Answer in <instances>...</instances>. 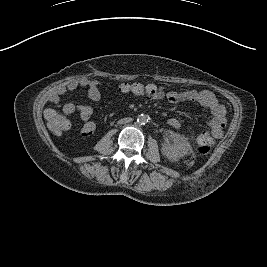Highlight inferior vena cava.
Returning a JSON list of instances; mask_svg holds the SVG:
<instances>
[{"instance_id":"obj_1","label":"inferior vena cava","mask_w":267,"mask_h":267,"mask_svg":"<svg viewBox=\"0 0 267 267\" xmlns=\"http://www.w3.org/2000/svg\"><path fill=\"white\" fill-rule=\"evenodd\" d=\"M132 121V118H123L120 122L121 123H129Z\"/></svg>"}]
</instances>
